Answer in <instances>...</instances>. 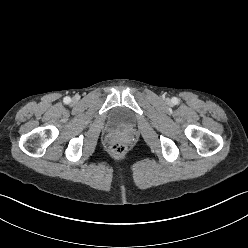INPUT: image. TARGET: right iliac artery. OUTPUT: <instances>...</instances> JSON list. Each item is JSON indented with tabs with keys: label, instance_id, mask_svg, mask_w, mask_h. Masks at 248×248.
Masks as SVG:
<instances>
[{
	"label": "right iliac artery",
	"instance_id": "82829eb1",
	"mask_svg": "<svg viewBox=\"0 0 248 248\" xmlns=\"http://www.w3.org/2000/svg\"><path fill=\"white\" fill-rule=\"evenodd\" d=\"M70 101H71V98L70 97L66 96L64 98V103L68 104V103H70Z\"/></svg>",
	"mask_w": 248,
	"mask_h": 248
}]
</instances>
